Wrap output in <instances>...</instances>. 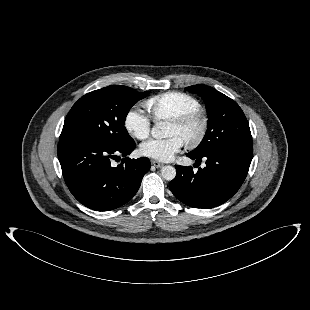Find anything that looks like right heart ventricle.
<instances>
[{
    "label": "right heart ventricle",
    "instance_id": "1",
    "mask_svg": "<svg viewBox=\"0 0 310 310\" xmlns=\"http://www.w3.org/2000/svg\"><path fill=\"white\" fill-rule=\"evenodd\" d=\"M145 105L156 121L170 120L201 107L195 97L180 91H169L155 95L149 98Z\"/></svg>",
    "mask_w": 310,
    "mask_h": 310
}]
</instances>
